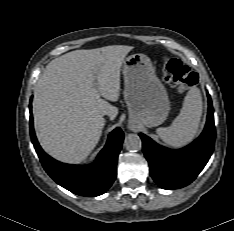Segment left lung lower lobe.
Returning <instances> with one entry per match:
<instances>
[{
  "label": "left lung lower lobe",
  "mask_w": 234,
  "mask_h": 231,
  "mask_svg": "<svg viewBox=\"0 0 234 231\" xmlns=\"http://www.w3.org/2000/svg\"><path fill=\"white\" fill-rule=\"evenodd\" d=\"M139 135L154 181L163 189L187 186L204 168L214 149L215 126L210 95L208 94L206 126L202 134L190 145L173 151L158 145L142 133Z\"/></svg>",
  "instance_id": "1"
}]
</instances>
